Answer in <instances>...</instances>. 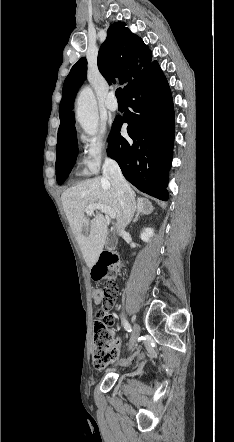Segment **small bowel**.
Instances as JSON below:
<instances>
[{
	"label": "small bowel",
	"mask_w": 234,
	"mask_h": 442,
	"mask_svg": "<svg viewBox=\"0 0 234 442\" xmlns=\"http://www.w3.org/2000/svg\"><path fill=\"white\" fill-rule=\"evenodd\" d=\"M93 325L98 331H105L107 328H114L115 316L114 314H97ZM119 342L120 341L117 340L116 344H119Z\"/></svg>",
	"instance_id": "small-bowel-1"
}]
</instances>
